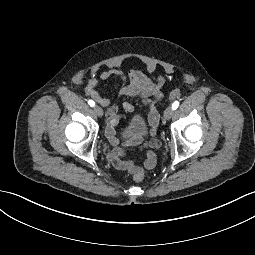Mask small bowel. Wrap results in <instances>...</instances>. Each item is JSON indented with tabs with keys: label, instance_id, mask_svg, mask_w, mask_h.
<instances>
[{
	"label": "small bowel",
	"instance_id": "obj_1",
	"mask_svg": "<svg viewBox=\"0 0 255 255\" xmlns=\"http://www.w3.org/2000/svg\"><path fill=\"white\" fill-rule=\"evenodd\" d=\"M155 69V65H150L148 67L150 72L155 71ZM97 77L102 80L116 78L121 83L118 93L120 96L137 98L141 101L143 106L148 110L151 139H147L145 136H134L121 144L119 143L116 137V127L121 119V114L131 113L133 111V106L126 101L122 102L120 105H116L111 103L109 98L102 96L97 88ZM162 84V76L151 78L141 71L131 70L125 73L119 68L94 71L93 75L88 79L85 87L86 95L107 109L108 120L105 134L110 143L114 146L110 154V161L113 167L118 171L134 174L137 170H151L155 167L157 162L156 151L161 148L160 141L154 138V136L159 123V113L156 105L162 97ZM127 147H142L148 149L143 160V167L138 166L133 160L123 159L125 155L124 148Z\"/></svg>",
	"mask_w": 255,
	"mask_h": 255
}]
</instances>
